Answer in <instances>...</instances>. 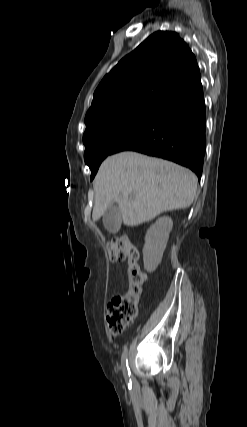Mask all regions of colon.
<instances>
[{"label": "colon", "mask_w": 247, "mask_h": 427, "mask_svg": "<svg viewBox=\"0 0 247 427\" xmlns=\"http://www.w3.org/2000/svg\"><path fill=\"white\" fill-rule=\"evenodd\" d=\"M108 253L112 261L128 260V290L116 295L107 310L110 330L120 335L134 320L138 311V302L144 290L147 275L141 269L140 252L127 235H121L108 244Z\"/></svg>", "instance_id": "5ec220e1"}]
</instances>
